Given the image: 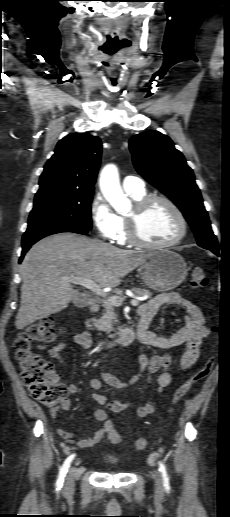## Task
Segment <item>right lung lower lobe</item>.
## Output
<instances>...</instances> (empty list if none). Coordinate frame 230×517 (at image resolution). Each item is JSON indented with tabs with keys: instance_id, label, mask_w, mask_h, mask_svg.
<instances>
[{
	"instance_id": "98d812e1",
	"label": "right lung lower lobe",
	"mask_w": 230,
	"mask_h": 517,
	"mask_svg": "<svg viewBox=\"0 0 230 517\" xmlns=\"http://www.w3.org/2000/svg\"><path fill=\"white\" fill-rule=\"evenodd\" d=\"M60 232H74L78 234H87L88 230L81 229L77 227H72L68 225H51V226H45V227H39L32 230H27L22 239V254L19 259V262L22 261L25 253L29 250V248L36 243L38 240Z\"/></svg>"
}]
</instances>
